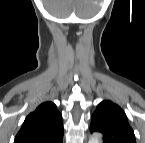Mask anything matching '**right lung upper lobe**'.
Listing matches in <instances>:
<instances>
[{"instance_id": "obj_1", "label": "right lung upper lobe", "mask_w": 145, "mask_h": 143, "mask_svg": "<svg viewBox=\"0 0 145 143\" xmlns=\"http://www.w3.org/2000/svg\"><path fill=\"white\" fill-rule=\"evenodd\" d=\"M15 143H63L62 116L52 102H44L30 113Z\"/></svg>"}]
</instances>
